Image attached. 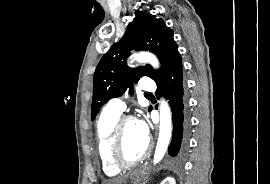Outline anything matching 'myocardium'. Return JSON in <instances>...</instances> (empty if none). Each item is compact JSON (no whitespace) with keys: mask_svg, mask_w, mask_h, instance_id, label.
Masks as SVG:
<instances>
[{"mask_svg":"<svg viewBox=\"0 0 270 184\" xmlns=\"http://www.w3.org/2000/svg\"><path fill=\"white\" fill-rule=\"evenodd\" d=\"M130 121H136L135 117L131 115H124L120 117L114 126V130L111 137L110 151H109L110 160L114 166L120 169L129 168L136 164L141 163L150 155L152 149V142L148 138L146 149L140 157L133 160H128L123 156L122 152L123 130L126 123Z\"/></svg>","mask_w":270,"mask_h":184,"instance_id":"f54148a6","label":"myocardium"}]
</instances>
